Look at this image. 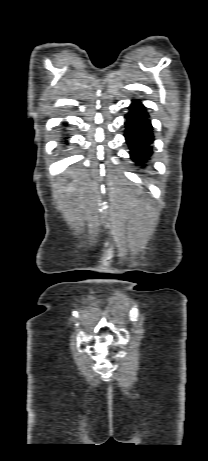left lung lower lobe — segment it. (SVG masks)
Instances as JSON below:
<instances>
[{
    "instance_id": "1",
    "label": "left lung lower lobe",
    "mask_w": 208,
    "mask_h": 461,
    "mask_svg": "<svg viewBox=\"0 0 208 461\" xmlns=\"http://www.w3.org/2000/svg\"><path fill=\"white\" fill-rule=\"evenodd\" d=\"M125 118L127 121L124 135L131 158L137 165L144 166L152 154L150 144L153 142V133L149 115L141 102L133 101Z\"/></svg>"
}]
</instances>
